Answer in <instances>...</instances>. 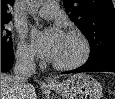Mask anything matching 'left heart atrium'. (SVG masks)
<instances>
[{"label": "left heart atrium", "mask_w": 115, "mask_h": 99, "mask_svg": "<svg viewBox=\"0 0 115 99\" xmlns=\"http://www.w3.org/2000/svg\"><path fill=\"white\" fill-rule=\"evenodd\" d=\"M65 34L57 28L34 30L31 40L36 52L44 59L54 61Z\"/></svg>", "instance_id": "39dd6f15"}]
</instances>
